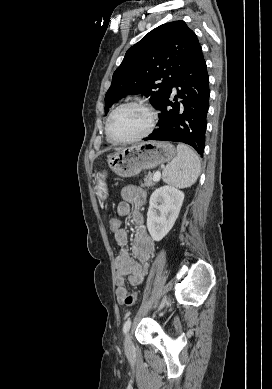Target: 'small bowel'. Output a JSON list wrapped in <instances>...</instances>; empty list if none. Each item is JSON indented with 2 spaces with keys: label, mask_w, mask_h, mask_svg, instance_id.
<instances>
[{
  "label": "small bowel",
  "mask_w": 272,
  "mask_h": 389,
  "mask_svg": "<svg viewBox=\"0 0 272 389\" xmlns=\"http://www.w3.org/2000/svg\"><path fill=\"white\" fill-rule=\"evenodd\" d=\"M122 201L117 206L120 217H129L135 225V236L130 251L124 248L128 243V232L121 228L115 233V240L123 247L115 259L116 298L123 303L128 295L127 283L131 286L140 285L149 269V264L155 253L153 239L147 233L141 214V207L146 202V192L141 187L129 185L122 189Z\"/></svg>",
  "instance_id": "c3829d8e"
}]
</instances>
